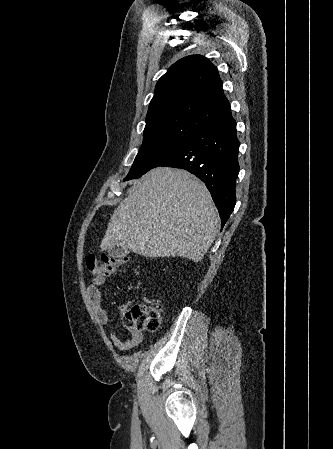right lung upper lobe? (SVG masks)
Segmentation results:
<instances>
[{
	"label": "right lung upper lobe",
	"mask_w": 333,
	"mask_h": 449,
	"mask_svg": "<svg viewBox=\"0 0 333 449\" xmlns=\"http://www.w3.org/2000/svg\"><path fill=\"white\" fill-rule=\"evenodd\" d=\"M231 114L217 68L201 55L174 63L158 81L144 132L174 123L204 128Z\"/></svg>",
	"instance_id": "cb5924a9"
}]
</instances>
